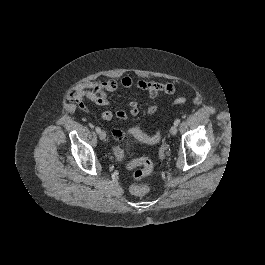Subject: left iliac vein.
Returning <instances> with one entry per match:
<instances>
[{
    "label": "left iliac vein",
    "instance_id": "1",
    "mask_svg": "<svg viewBox=\"0 0 265 265\" xmlns=\"http://www.w3.org/2000/svg\"><path fill=\"white\" fill-rule=\"evenodd\" d=\"M170 133H171V135H176V133H177V126L176 125L171 126Z\"/></svg>",
    "mask_w": 265,
    "mask_h": 265
}]
</instances>
